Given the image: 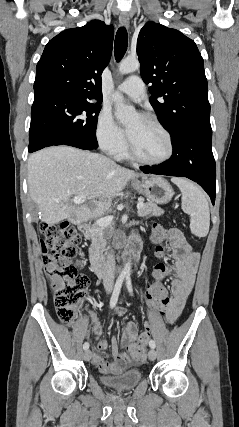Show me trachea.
<instances>
[{
	"label": "trachea",
	"instance_id": "obj_1",
	"mask_svg": "<svg viewBox=\"0 0 239 427\" xmlns=\"http://www.w3.org/2000/svg\"><path fill=\"white\" fill-rule=\"evenodd\" d=\"M128 46V35L125 27H120L116 33L114 42L115 59L120 61L126 53Z\"/></svg>",
	"mask_w": 239,
	"mask_h": 427
}]
</instances>
